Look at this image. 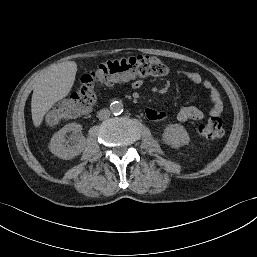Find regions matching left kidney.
Instances as JSON below:
<instances>
[{
    "label": "left kidney",
    "instance_id": "obj_1",
    "mask_svg": "<svg viewBox=\"0 0 257 257\" xmlns=\"http://www.w3.org/2000/svg\"><path fill=\"white\" fill-rule=\"evenodd\" d=\"M163 141L173 148H178L183 145H187L190 138L186 129L182 125L171 124L164 130Z\"/></svg>",
    "mask_w": 257,
    "mask_h": 257
}]
</instances>
